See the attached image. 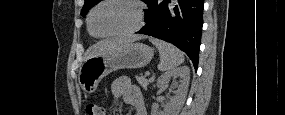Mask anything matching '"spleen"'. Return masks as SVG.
Instances as JSON below:
<instances>
[{
	"label": "spleen",
	"instance_id": "spleen-1",
	"mask_svg": "<svg viewBox=\"0 0 285 115\" xmlns=\"http://www.w3.org/2000/svg\"><path fill=\"white\" fill-rule=\"evenodd\" d=\"M150 42L158 48L160 54L158 69L160 71H171L184 62L183 53L172 44L155 38H151Z\"/></svg>",
	"mask_w": 285,
	"mask_h": 115
}]
</instances>
